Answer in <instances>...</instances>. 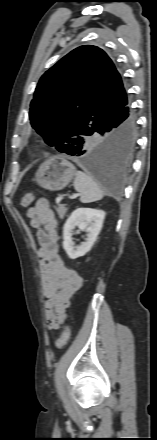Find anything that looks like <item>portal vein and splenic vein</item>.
Here are the masks:
<instances>
[{
    "instance_id": "portal-vein-and-splenic-vein-1",
    "label": "portal vein and splenic vein",
    "mask_w": 157,
    "mask_h": 440,
    "mask_svg": "<svg viewBox=\"0 0 157 440\" xmlns=\"http://www.w3.org/2000/svg\"><path fill=\"white\" fill-rule=\"evenodd\" d=\"M77 196H79V194H75V195H73L72 198H75V197H77ZM61 199H63V196L58 197L57 201H60Z\"/></svg>"
}]
</instances>
